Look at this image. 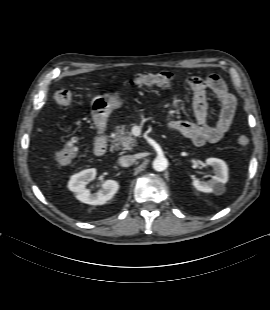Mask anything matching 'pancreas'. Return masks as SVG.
<instances>
[{"instance_id":"pancreas-1","label":"pancreas","mask_w":270,"mask_h":310,"mask_svg":"<svg viewBox=\"0 0 270 310\" xmlns=\"http://www.w3.org/2000/svg\"><path fill=\"white\" fill-rule=\"evenodd\" d=\"M113 148L115 150H130L136 141L133 134L128 130L127 125L116 126L113 133Z\"/></svg>"}]
</instances>
